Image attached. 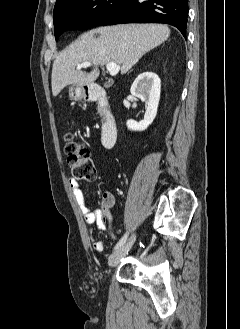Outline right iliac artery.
<instances>
[{
    "mask_svg": "<svg viewBox=\"0 0 240 329\" xmlns=\"http://www.w3.org/2000/svg\"><path fill=\"white\" fill-rule=\"evenodd\" d=\"M127 236H128V234L126 233L120 240H119V242L116 244V246H115V250H117V249H119L121 246H123V244L126 242V240H127Z\"/></svg>",
    "mask_w": 240,
    "mask_h": 329,
    "instance_id": "obj_1",
    "label": "right iliac artery"
}]
</instances>
